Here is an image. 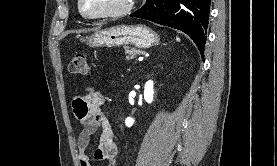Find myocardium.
Listing matches in <instances>:
<instances>
[{
	"label": "myocardium",
	"mask_w": 277,
	"mask_h": 166,
	"mask_svg": "<svg viewBox=\"0 0 277 166\" xmlns=\"http://www.w3.org/2000/svg\"><path fill=\"white\" fill-rule=\"evenodd\" d=\"M135 5V0H127V3L119 8L114 10H108L99 13H89L85 11L83 7V0H78V9L79 12L86 18L89 19H108V18H120L131 12Z\"/></svg>",
	"instance_id": "f54148a6"
}]
</instances>
